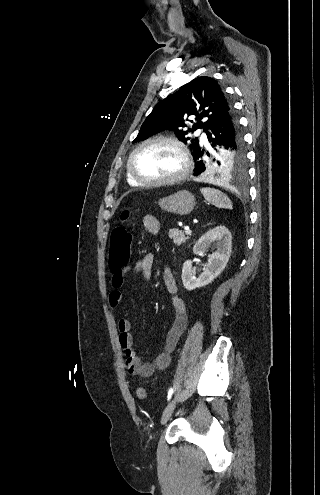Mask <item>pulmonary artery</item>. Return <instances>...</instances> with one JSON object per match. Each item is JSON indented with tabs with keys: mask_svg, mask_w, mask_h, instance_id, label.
I'll use <instances>...</instances> for the list:
<instances>
[{
	"mask_svg": "<svg viewBox=\"0 0 320 495\" xmlns=\"http://www.w3.org/2000/svg\"><path fill=\"white\" fill-rule=\"evenodd\" d=\"M201 141H202L203 143H207V137H206L205 135H202V136H201Z\"/></svg>",
	"mask_w": 320,
	"mask_h": 495,
	"instance_id": "1",
	"label": "pulmonary artery"
}]
</instances>
